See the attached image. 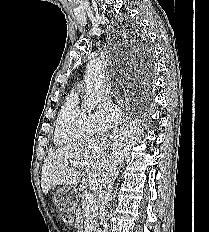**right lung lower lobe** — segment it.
Instances as JSON below:
<instances>
[{
	"instance_id": "1",
	"label": "right lung lower lobe",
	"mask_w": 209,
	"mask_h": 232,
	"mask_svg": "<svg viewBox=\"0 0 209 232\" xmlns=\"http://www.w3.org/2000/svg\"><path fill=\"white\" fill-rule=\"evenodd\" d=\"M139 52H140V61L142 62V64H146L148 66V69L149 67L151 68V59H152L151 50L147 46H143ZM145 73L148 75L150 73V69L149 71L147 70Z\"/></svg>"
}]
</instances>
